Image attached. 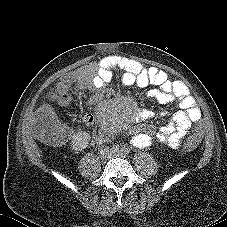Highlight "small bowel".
<instances>
[{"mask_svg": "<svg viewBox=\"0 0 227 227\" xmlns=\"http://www.w3.org/2000/svg\"><path fill=\"white\" fill-rule=\"evenodd\" d=\"M116 71L122 72L121 82L124 85L140 88L153 85L155 88L148 91L150 98L161 104L176 102L179 106L171 122L161 128L156 130L152 127L139 126L131 137L132 144L138 148H147L157 140L169 149L177 150L192 125L200 119V109L183 82L169 79L166 72L156 67H145L140 62L123 56L104 57L97 63L75 70L57 83V90L64 96L59 101L60 105H69L72 98L71 90L74 92L89 90L96 95L99 94L111 82ZM95 100L94 96L89 102L93 103ZM42 111L47 115L53 114L47 107H43ZM151 117L152 112L149 110H142L137 115V119L141 122ZM81 120L90 122L86 116Z\"/></svg>", "mask_w": 227, "mask_h": 227, "instance_id": "c3829d8e", "label": "small bowel"}]
</instances>
